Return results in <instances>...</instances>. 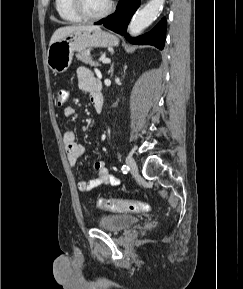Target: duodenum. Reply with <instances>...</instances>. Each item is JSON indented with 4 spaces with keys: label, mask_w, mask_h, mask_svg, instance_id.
Instances as JSON below:
<instances>
[{
    "label": "duodenum",
    "mask_w": 243,
    "mask_h": 289,
    "mask_svg": "<svg viewBox=\"0 0 243 289\" xmlns=\"http://www.w3.org/2000/svg\"><path fill=\"white\" fill-rule=\"evenodd\" d=\"M94 99H95V106L97 112H100L102 109L103 105V100H102V94H101V88L97 87L94 91Z\"/></svg>",
    "instance_id": "obj_1"
}]
</instances>
